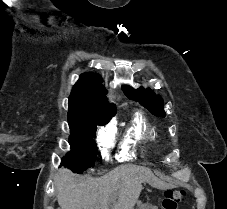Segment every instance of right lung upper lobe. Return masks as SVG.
<instances>
[{
  "label": "right lung upper lobe",
  "instance_id": "1",
  "mask_svg": "<svg viewBox=\"0 0 227 209\" xmlns=\"http://www.w3.org/2000/svg\"><path fill=\"white\" fill-rule=\"evenodd\" d=\"M106 93L100 76L93 73L82 74L69 97L68 120L88 116L111 119L116 108L107 103Z\"/></svg>",
  "mask_w": 227,
  "mask_h": 209
}]
</instances>
